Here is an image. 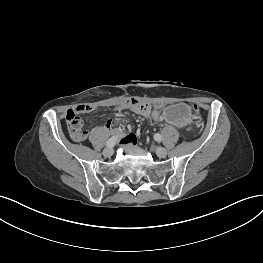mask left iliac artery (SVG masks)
Segmentation results:
<instances>
[{
  "mask_svg": "<svg viewBox=\"0 0 263 263\" xmlns=\"http://www.w3.org/2000/svg\"><path fill=\"white\" fill-rule=\"evenodd\" d=\"M154 139H155L157 142H161V141H162V136H161L160 134L156 133V134L154 135Z\"/></svg>",
  "mask_w": 263,
  "mask_h": 263,
  "instance_id": "1",
  "label": "left iliac artery"
}]
</instances>
